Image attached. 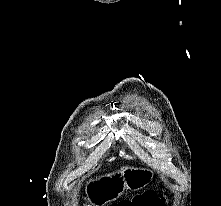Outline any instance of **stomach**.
I'll return each mask as SVG.
<instances>
[{
	"instance_id": "obj_1",
	"label": "stomach",
	"mask_w": 221,
	"mask_h": 206,
	"mask_svg": "<svg viewBox=\"0 0 221 206\" xmlns=\"http://www.w3.org/2000/svg\"><path fill=\"white\" fill-rule=\"evenodd\" d=\"M153 177L148 168L126 166L119 171L100 177L88 188L86 206H104L119 198L125 189L139 190Z\"/></svg>"
}]
</instances>
